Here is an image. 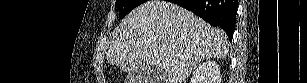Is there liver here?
Segmentation results:
<instances>
[{
    "label": "liver",
    "instance_id": "obj_1",
    "mask_svg": "<svg viewBox=\"0 0 307 83\" xmlns=\"http://www.w3.org/2000/svg\"><path fill=\"white\" fill-rule=\"evenodd\" d=\"M228 49L222 29L180 6L150 0L115 28L106 60L128 73L155 66L163 83H183L200 61L225 58Z\"/></svg>",
    "mask_w": 307,
    "mask_h": 83
}]
</instances>
